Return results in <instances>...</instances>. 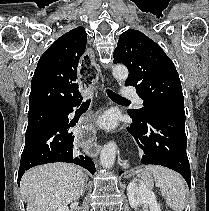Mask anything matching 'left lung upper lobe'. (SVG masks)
Wrapping results in <instances>:
<instances>
[{"label":"left lung upper lobe","mask_w":209,"mask_h":211,"mask_svg":"<svg viewBox=\"0 0 209 211\" xmlns=\"http://www.w3.org/2000/svg\"><path fill=\"white\" fill-rule=\"evenodd\" d=\"M114 63L129 69L126 86H135L144 100L143 107L130 110L139 117L152 109H184L182 87L176 68L159 45L137 30H127L119 37L113 54Z\"/></svg>","instance_id":"5c2ea615"}]
</instances>
